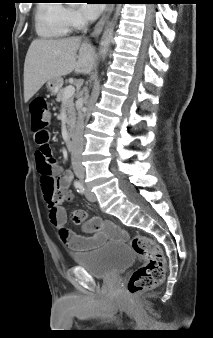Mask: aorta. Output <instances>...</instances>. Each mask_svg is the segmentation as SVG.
<instances>
[{"mask_svg": "<svg viewBox=\"0 0 213 338\" xmlns=\"http://www.w3.org/2000/svg\"><path fill=\"white\" fill-rule=\"evenodd\" d=\"M109 44H110V32L109 30H107V32H105V34L103 35L102 41L100 43V54L102 55L103 58L105 57L108 51Z\"/></svg>", "mask_w": 213, "mask_h": 338, "instance_id": "aorta-1", "label": "aorta"}]
</instances>
